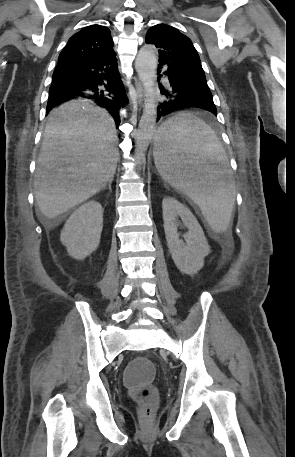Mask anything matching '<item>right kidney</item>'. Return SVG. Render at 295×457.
I'll use <instances>...</instances> for the list:
<instances>
[{"label": "right kidney", "mask_w": 295, "mask_h": 457, "mask_svg": "<svg viewBox=\"0 0 295 457\" xmlns=\"http://www.w3.org/2000/svg\"><path fill=\"white\" fill-rule=\"evenodd\" d=\"M102 227V206L92 200L73 212L61 232L60 240L71 257L82 260L97 249Z\"/></svg>", "instance_id": "ca27d5eb"}]
</instances>
